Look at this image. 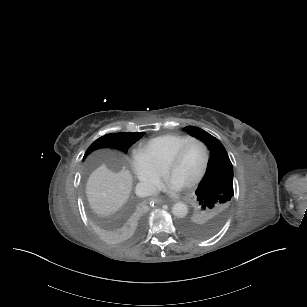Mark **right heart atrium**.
I'll return each instance as SVG.
<instances>
[{
    "mask_svg": "<svg viewBox=\"0 0 307 307\" xmlns=\"http://www.w3.org/2000/svg\"><path fill=\"white\" fill-rule=\"evenodd\" d=\"M130 166L135 177L142 182H154L163 175L159 164L152 162L147 155L137 150L131 151Z\"/></svg>",
    "mask_w": 307,
    "mask_h": 307,
    "instance_id": "obj_1",
    "label": "right heart atrium"
}]
</instances>
